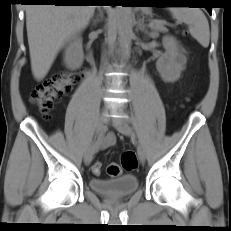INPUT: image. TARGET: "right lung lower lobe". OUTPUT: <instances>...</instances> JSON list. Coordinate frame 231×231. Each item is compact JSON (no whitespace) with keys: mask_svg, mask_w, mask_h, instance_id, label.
Here are the masks:
<instances>
[{"mask_svg":"<svg viewBox=\"0 0 231 231\" xmlns=\"http://www.w3.org/2000/svg\"><path fill=\"white\" fill-rule=\"evenodd\" d=\"M28 3H51L54 5H79L76 0H23Z\"/></svg>","mask_w":231,"mask_h":231,"instance_id":"98d812e1","label":"right lung lower lobe"}]
</instances>
